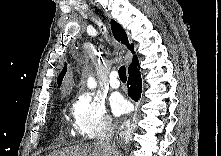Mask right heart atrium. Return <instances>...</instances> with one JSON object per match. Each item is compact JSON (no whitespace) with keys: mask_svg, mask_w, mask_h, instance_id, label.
Segmentation results:
<instances>
[{"mask_svg":"<svg viewBox=\"0 0 221 156\" xmlns=\"http://www.w3.org/2000/svg\"><path fill=\"white\" fill-rule=\"evenodd\" d=\"M72 128L77 137L90 141L113 131L114 122L104 103L89 93L78 94L71 103Z\"/></svg>","mask_w":221,"mask_h":156,"instance_id":"right-heart-atrium-1","label":"right heart atrium"}]
</instances>
